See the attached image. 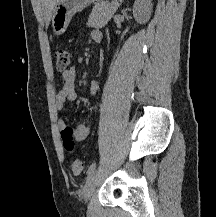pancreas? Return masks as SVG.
Masks as SVG:
<instances>
[{
	"label": "pancreas",
	"mask_w": 216,
	"mask_h": 217,
	"mask_svg": "<svg viewBox=\"0 0 216 217\" xmlns=\"http://www.w3.org/2000/svg\"><path fill=\"white\" fill-rule=\"evenodd\" d=\"M118 7L119 3L117 0L111 3H97L92 9L87 25L95 28H103L110 21Z\"/></svg>",
	"instance_id": "1"
}]
</instances>
